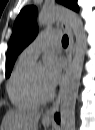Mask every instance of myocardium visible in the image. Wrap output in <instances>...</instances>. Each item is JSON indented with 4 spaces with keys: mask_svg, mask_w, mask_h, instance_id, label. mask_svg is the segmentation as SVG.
<instances>
[{
    "mask_svg": "<svg viewBox=\"0 0 95 130\" xmlns=\"http://www.w3.org/2000/svg\"><path fill=\"white\" fill-rule=\"evenodd\" d=\"M31 81V88L32 92L35 96V98L40 102V103H45L50 101L54 97V91L51 89L47 93H43L40 88L37 86L33 78L30 79Z\"/></svg>",
    "mask_w": 95,
    "mask_h": 130,
    "instance_id": "1",
    "label": "myocardium"
}]
</instances>
